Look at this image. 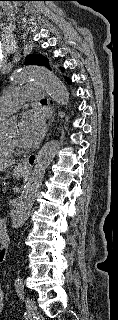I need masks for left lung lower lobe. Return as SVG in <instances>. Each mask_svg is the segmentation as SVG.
Returning <instances> with one entry per match:
<instances>
[{
    "label": "left lung lower lobe",
    "mask_w": 118,
    "mask_h": 320,
    "mask_svg": "<svg viewBox=\"0 0 118 320\" xmlns=\"http://www.w3.org/2000/svg\"><path fill=\"white\" fill-rule=\"evenodd\" d=\"M65 80L68 84H71V79H69L68 77H65Z\"/></svg>",
    "instance_id": "1"
}]
</instances>
